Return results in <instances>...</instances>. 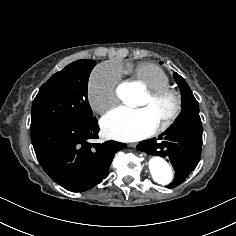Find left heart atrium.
<instances>
[{"instance_id":"39dd6f15","label":"left heart atrium","mask_w":236,"mask_h":236,"mask_svg":"<svg viewBox=\"0 0 236 236\" xmlns=\"http://www.w3.org/2000/svg\"><path fill=\"white\" fill-rule=\"evenodd\" d=\"M100 125L108 138L126 142L143 139L155 128L148 110L128 107H116L108 111Z\"/></svg>"}]
</instances>
